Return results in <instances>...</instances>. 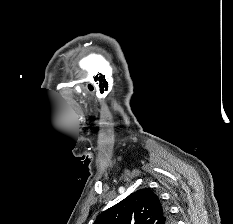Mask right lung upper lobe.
<instances>
[{
  "mask_svg": "<svg viewBox=\"0 0 233 224\" xmlns=\"http://www.w3.org/2000/svg\"><path fill=\"white\" fill-rule=\"evenodd\" d=\"M172 221L158 196L150 189H140L101 213L94 224H171Z\"/></svg>",
  "mask_w": 233,
  "mask_h": 224,
  "instance_id": "right-lung-upper-lobe-1",
  "label": "right lung upper lobe"
}]
</instances>
